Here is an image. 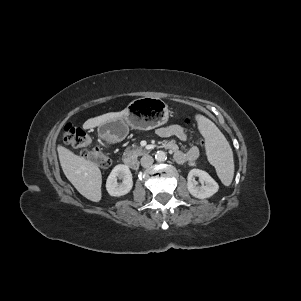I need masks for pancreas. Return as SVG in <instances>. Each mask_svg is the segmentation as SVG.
<instances>
[{
	"label": "pancreas",
	"mask_w": 301,
	"mask_h": 301,
	"mask_svg": "<svg viewBox=\"0 0 301 301\" xmlns=\"http://www.w3.org/2000/svg\"><path fill=\"white\" fill-rule=\"evenodd\" d=\"M145 154V150H143L141 147L138 146H133V149L126 148L124 152L125 157H130V158H137L138 156H141Z\"/></svg>",
	"instance_id": "cf45deb5"
}]
</instances>
